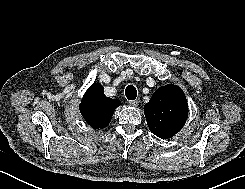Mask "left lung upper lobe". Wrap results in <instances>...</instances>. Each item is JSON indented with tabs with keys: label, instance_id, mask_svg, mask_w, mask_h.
<instances>
[{
	"label": "left lung upper lobe",
	"instance_id": "left-lung-upper-lobe-1",
	"mask_svg": "<svg viewBox=\"0 0 245 189\" xmlns=\"http://www.w3.org/2000/svg\"><path fill=\"white\" fill-rule=\"evenodd\" d=\"M150 131L163 139L171 138L184 126L188 104L184 92L174 84L157 89L144 106Z\"/></svg>",
	"mask_w": 245,
	"mask_h": 189
}]
</instances>
